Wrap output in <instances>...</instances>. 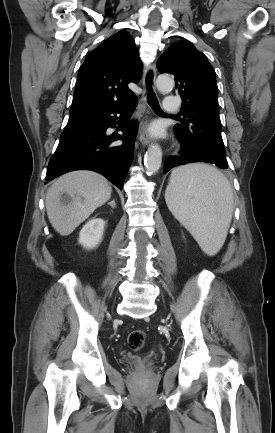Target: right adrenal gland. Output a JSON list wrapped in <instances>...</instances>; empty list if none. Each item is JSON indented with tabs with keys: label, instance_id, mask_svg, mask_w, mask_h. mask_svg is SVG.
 <instances>
[{
	"label": "right adrenal gland",
	"instance_id": "obj_1",
	"mask_svg": "<svg viewBox=\"0 0 275 433\" xmlns=\"http://www.w3.org/2000/svg\"><path fill=\"white\" fill-rule=\"evenodd\" d=\"M108 205H110L112 208H115L116 207L115 200H112L111 202H109Z\"/></svg>",
	"mask_w": 275,
	"mask_h": 433
}]
</instances>
